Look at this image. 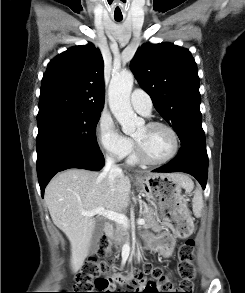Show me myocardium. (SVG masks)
<instances>
[{"instance_id": "myocardium-1", "label": "myocardium", "mask_w": 245, "mask_h": 293, "mask_svg": "<svg viewBox=\"0 0 245 293\" xmlns=\"http://www.w3.org/2000/svg\"><path fill=\"white\" fill-rule=\"evenodd\" d=\"M146 127L147 128L160 127V128L166 129L171 134V137H172V142H173L172 150H171L170 154L163 159L151 160L143 154L139 144L136 141L135 142V154H136L137 159L140 162H142L144 164H148V165H162V164L168 163L171 160H173L177 156V154L179 152V148H180V140H179V136H178V133L176 132V130L172 126L165 124V123H162V122H150L146 125Z\"/></svg>"}]
</instances>
